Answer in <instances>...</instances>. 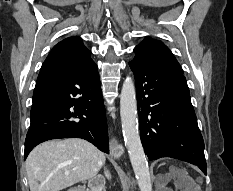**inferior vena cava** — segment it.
<instances>
[{
	"label": "inferior vena cava",
	"instance_id": "obj_1",
	"mask_svg": "<svg viewBox=\"0 0 233 191\" xmlns=\"http://www.w3.org/2000/svg\"><path fill=\"white\" fill-rule=\"evenodd\" d=\"M105 176H106L108 179L111 178L110 174H109L107 171H105Z\"/></svg>",
	"mask_w": 233,
	"mask_h": 191
}]
</instances>
